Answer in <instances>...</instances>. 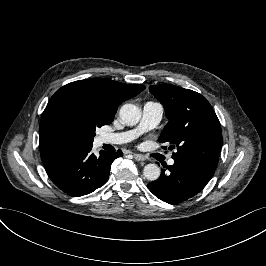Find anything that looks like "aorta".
<instances>
[{
	"mask_svg": "<svg viewBox=\"0 0 266 266\" xmlns=\"http://www.w3.org/2000/svg\"><path fill=\"white\" fill-rule=\"evenodd\" d=\"M121 120L128 126L136 125L141 119V110L134 104H124L119 112ZM161 169L157 164H147L143 175L148 181H155L160 177Z\"/></svg>",
	"mask_w": 266,
	"mask_h": 266,
	"instance_id": "aorta-1",
	"label": "aorta"
}]
</instances>
